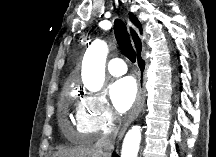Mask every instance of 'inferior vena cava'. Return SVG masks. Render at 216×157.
Instances as JSON below:
<instances>
[{
  "mask_svg": "<svg viewBox=\"0 0 216 157\" xmlns=\"http://www.w3.org/2000/svg\"><path fill=\"white\" fill-rule=\"evenodd\" d=\"M116 138L115 132H104L100 139L95 144V149L98 153V157H110L114 148V142Z\"/></svg>",
  "mask_w": 216,
  "mask_h": 157,
  "instance_id": "obj_1",
  "label": "inferior vena cava"
}]
</instances>
